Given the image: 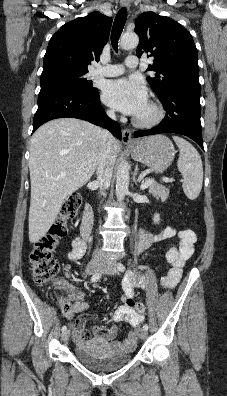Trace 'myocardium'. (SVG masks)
Here are the masks:
<instances>
[{
	"mask_svg": "<svg viewBox=\"0 0 227 396\" xmlns=\"http://www.w3.org/2000/svg\"><path fill=\"white\" fill-rule=\"evenodd\" d=\"M149 106L152 109V115L149 118H139L135 117L133 119V123L140 128H152L158 124H160L165 117V110L163 106L156 102L150 101Z\"/></svg>",
	"mask_w": 227,
	"mask_h": 396,
	"instance_id": "f54148a6",
	"label": "myocardium"
}]
</instances>
